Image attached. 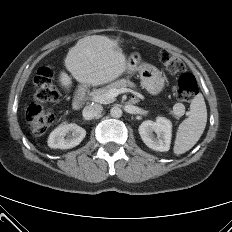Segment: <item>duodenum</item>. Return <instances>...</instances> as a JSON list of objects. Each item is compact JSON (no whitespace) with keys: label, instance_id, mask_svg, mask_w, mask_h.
<instances>
[{"label":"duodenum","instance_id":"1","mask_svg":"<svg viewBox=\"0 0 232 232\" xmlns=\"http://www.w3.org/2000/svg\"><path fill=\"white\" fill-rule=\"evenodd\" d=\"M85 97V91L84 90H78L75 101H74V108L78 109L83 103Z\"/></svg>","mask_w":232,"mask_h":232}]
</instances>
